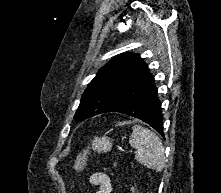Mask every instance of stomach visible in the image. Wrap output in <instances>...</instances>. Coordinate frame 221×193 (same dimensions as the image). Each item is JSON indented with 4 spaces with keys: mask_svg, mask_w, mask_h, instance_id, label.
Segmentation results:
<instances>
[{
    "mask_svg": "<svg viewBox=\"0 0 221 193\" xmlns=\"http://www.w3.org/2000/svg\"><path fill=\"white\" fill-rule=\"evenodd\" d=\"M92 148L97 152H107L112 148V142L107 137L95 138L92 141Z\"/></svg>",
    "mask_w": 221,
    "mask_h": 193,
    "instance_id": "obj_1",
    "label": "stomach"
}]
</instances>
